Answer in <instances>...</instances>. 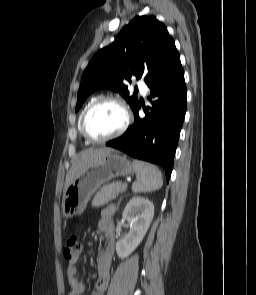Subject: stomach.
<instances>
[{"label":"stomach","instance_id":"stomach-1","mask_svg":"<svg viewBox=\"0 0 256 295\" xmlns=\"http://www.w3.org/2000/svg\"><path fill=\"white\" fill-rule=\"evenodd\" d=\"M136 172L134 164L118 153H109L92 163L65 190L62 214L68 219L81 215L92 195L104 183Z\"/></svg>","mask_w":256,"mask_h":295}]
</instances>
